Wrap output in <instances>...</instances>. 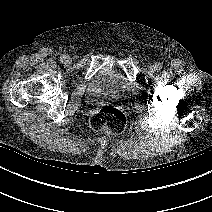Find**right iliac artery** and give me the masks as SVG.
<instances>
[{
	"label": "right iliac artery",
	"instance_id": "1",
	"mask_svg": "<svg viewBox=\"0 0 212 212\" xmlns=\"http://www.w3.org/2000/svg\"><path fill=\"white\" fill-rule=\"evenodd\" d=\"M65 58H66V55H64V54L60 56V60H61L62 62L64 61Z\"/></svg>",
	"mask_w": 212,
	"mask_h": 212
}]
</instances>
